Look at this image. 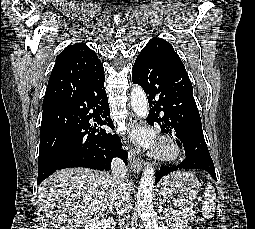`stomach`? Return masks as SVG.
Here are the masks:
<instances>
[{
	"mask_svg": "<svg viewBox=\"0 0 255 229\" xmlns=\"http://www.w3.org/2000/svg\"><path fill=\"white\" fill-rule=\"evenodd\" d=\"M200 183L189 171H175L167 175L159 184V194L172 200L175 207L186 208L193 204L198 195Z\"/></svg>",
	"mask_w": 255,
	"mask_h": 229,
	"instance_id": "obj_1",
	"label": "stomach"
}]
</instances>
